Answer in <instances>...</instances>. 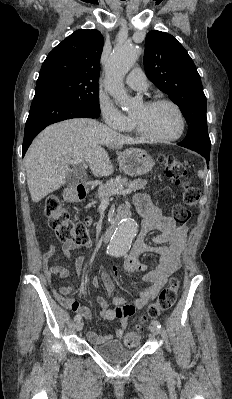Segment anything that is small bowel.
Returning <instances> with one entry per match:
<instances>
[{
	"label": "small bowel",
	"mask_w": 232,
	"mask_h": 399,
	"mask_svg": "<svg viewBox=\"0 0 232 399\" xmlns=\"http://www.w3.org/2000/svg\"><path fill=\"white\" fill-rule=\"evenodd\" d=\"M134 203L142 212L145 219L134 247L131 248L126 255L125 271L131 274L145 269V267L138 262V256L143 250L148 248H153L160 255V263L156 268L146 273L145 279L152 282V286L143 291L133 305L127 304L122 297L117 295L113 288L108 290V294L114 296L112 299V306H109L104 296L100 295L98 297V303L101 307L100 317L102 319L108 320L116 317L120 318L118 329L108 339L111 345L119 344V336L128 329V319L134 309L145 307L178 268L187 236L186 227L177 226L172 220L162 219L160 217V204L146 194L137 193L134 196ZM152 230H159L161 231V234L153 239L152 245H149L146 242V237ZM166 243L168 246L162 247V245ZM91 247V242L79 243L66 241L62 244L61 252L57 253L54 243H51L48 252L45 254L41 262V267L48 282L50 292L54 296L60 298L64 307L78 311L82 314L87 323H91L94 319L92 311L87 306L80 304L70 296V293L78 290L79 282L56 288L52 282L53 278L58 275L62 278H67L68 273L58 263L49 265L48 260H68L71 258L72 251L79 248L89 249ZM79 259L80 257H78V260ZM78 271V279H80V268ZM101 278L104 283H109L111 280V276L107 272H104ZM93 285L95 288L99 289L100 283L98 278L93 279ZM81 327L83 328V325ZM87 337L93 345H102L104 343V339L95 332L89 331Z\"/></svg>",
	"instance_id": "obj_1"
}]
</instances>
